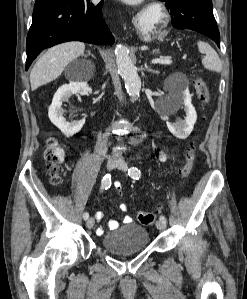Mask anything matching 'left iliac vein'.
I'll return each mask as SVG.
<instances>
[{"instance_id":"1","label":"left iliac vein","mask_w":247,"mask_h":299,"mask_svg":"<svg viewBox=\"0 0 247 299\" xmlns=\"http://www.w3.org/2000/svg\"><path fill=\"white\" fill-rule=\"evenodd\" d=\"M115 167H117L118 169H120L122 171H126L127 170V163L124 161V159L119 158ZM156 227L159 230H164L165 227H166V224L163 221L159 220V221L156 222Z\"/></svg>"}]
</instances>
